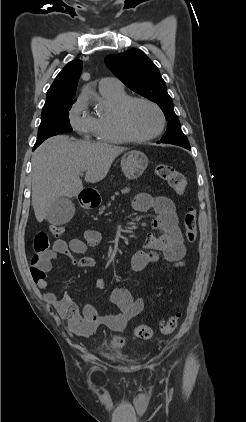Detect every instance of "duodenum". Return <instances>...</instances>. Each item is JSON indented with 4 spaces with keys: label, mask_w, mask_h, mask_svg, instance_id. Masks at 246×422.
I'll return each mask as SVG.
<instances>
[{
    "label": "duodenum",
    "mask_w": 246,
    "mask_h": 422,
    "mask_svg": "<svg viewBox=\"0 0 246 422\" xmlns=\"http://www.w3.org/2000/svg\"><path fill=\"white\" fill-rule=\"evenodd\" d=\"M83 204L88 208H95L99 205V198L94 195L84 196L82 198Z\"/></svg>",
    "instance_id": "410a0bca"
}]
</instances>
